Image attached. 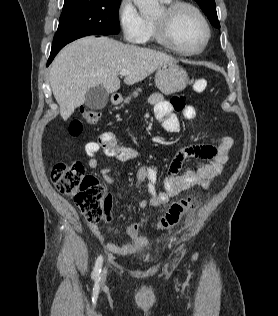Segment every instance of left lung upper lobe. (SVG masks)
I'll list each match as a JSON object with an SVG mask.
<instances>
[{
    "mask_svg": "<svg viewBox=\"0 0 278 316\" xmlns=\"http://www.w3.org/2000/svg\"><path fill=\"white\" fill-rule=\"evenodd\" d=\"M195 1L199 4L203 12L206 14L211 24L214 27L219 29L220 24L218 21L217 12L215 8V1L214 0H195Z\"/></svg>",
    "mask_w": 278,
    "mask_h": 316,
    "instance_id": "1",
    "label": "left lung upper lobe"
}]
</instances>
